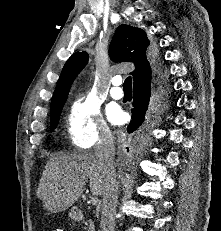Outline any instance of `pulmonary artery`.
<instances>
[{"label":"pulmonary artery","instance_id":"obj_1","mask_svg":"<svg viewBox=\"0 0 221 231\" xmlns=\"http://www.w3.org/2000/svg\"><path fill=\"white\" fill-rule=\"evenodd\" d=\"M121 78L119 76L114 77L112 80V88L110 90V95L113 99H121L123 97V91L120 88Z\"/></svg>","mask_w":221,"mask_h":231}]
</instances>
